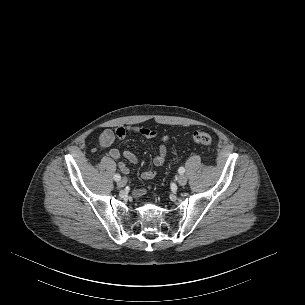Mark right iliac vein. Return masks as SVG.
I'll return each instance as SVG.
<instances>
[{"mask_svg": "<svg viewBox=\"0 0 305 305\" xmlns=\"http://www.w3.org/2000/svg\"><path fill=\"white\" fill-rule=\"evenodd\" d=\"M126 183H127V180H126L125 178H123V179L119 180V182L117 183V185H118L119 187H124V186L126 185Z\"/></svg>", "mask_w": 305, "mask_h": 305, "instance_id": "63e3f726", "label": "right iliac vein"}]
</instances>
